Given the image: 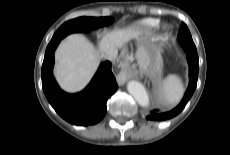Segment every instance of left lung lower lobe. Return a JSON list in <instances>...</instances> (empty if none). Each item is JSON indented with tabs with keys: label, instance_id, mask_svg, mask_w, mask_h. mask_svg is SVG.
<instances>
[{
	"label": "left lung lower lobe",
	"instance_id": "obj_1",
	"mask_svg": "<svg viewBox=\"0 0 230 155\" xmlns=\"http://www.w3.org/2000/svg\"><path fill=\"white\" fill-rule=\"evenodd\" d=\"M183 49L187 54V60L189 64V86L184 95V98L176 108L169 112H158L157 110H154L146 116L147 120L163 121L175 117L184 109L185 105L193 95L197 86L198 79V54L195 46H184Z\"/></svg>",
	"mask_w": 230,
	"mask_h": 155
}]
</instances>
